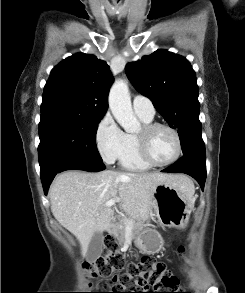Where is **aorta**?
Returning a JSON list of instances; mask_svg holds the SVG:
<instances>
[{
	"mask_svg": "<svg viewBox=\"0 0 245 293\" xmlns=\"http://www.w3.org/2000/svg\"><path fill=\"white\" fill-rule=\"evenodd\" d=\"M109 108L120 126L129 133L138 130L140 123L131 105L128 85L123 80L115 81L109 92Z\"/></svg>",
	"mask_w": 245,
	"mask_h": 293,
	"instance_id": "762f6f07",
	"label": "aorta"
}]
</instances>
